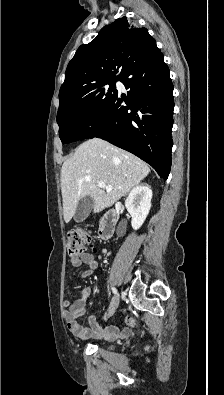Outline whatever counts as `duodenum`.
<instances>
[{"label":"duodenum","mask_w":224,"mask_h":395,"mask_svg":"<svg viewBox=\"0 0 224 395\" xmlns=\"http://www.w3.org/2000/svg\"><path fill=\"white\" fill-rule=\"evenodd\" d=\"M117 218L118 212L115 208H109L104 211L98 232L100 239L107 240L114 236Z\"/></svg>","instance_id":"duodenum-1"}]
</instances>
